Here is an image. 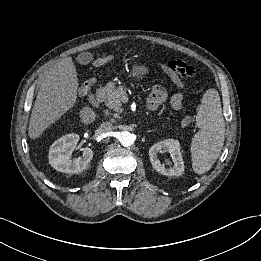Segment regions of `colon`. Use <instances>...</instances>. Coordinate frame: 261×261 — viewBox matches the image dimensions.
<instances>
[{"mask_svg":"<svg viewBox=\"0 0 261 261\" xmlns=\"http://www.w3.org/2000/svg\"><path fill=\"white\" fill-rule=\"evenodd\" d=\"M111 59L110 55H105L101 58V61L107 63ZM168 70L171 76L176 80H183L185 78L193 77L195 75V68L182 61L173 60L168 63ZM90 88V83L86 82L81 87V93L85 94Z\"/></svg>","mask_w":261,"mask_h":261,"instance_id":"obj_1","label":"colon"}]
</instances>
